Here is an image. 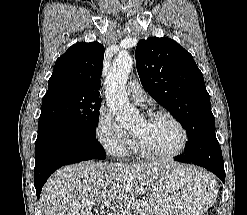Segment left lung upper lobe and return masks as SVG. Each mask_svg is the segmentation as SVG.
Wrapping results in <instances>:
<instances>
[{
  "label": "left lung upper lobe",
  "instance_id": "left-lung-upper-lobe-1",
  "mask_svg": "<svg viewBox=\"0 0 247 215\" xmlns=\"http://www.w3.org/2000/svg\"><path fill=\"white\" fill-rule=\"evenodd\" d=\"M135 58L144 88L186 129L184 152L193 153L196 141L216 139L210 96L192 55L170 38L151 37L139 41Z\"/></svg>",
  "mask_w": 247,
  "mask_h": 215
}]
</instances>
